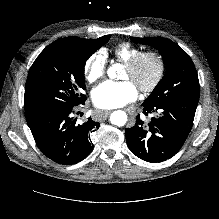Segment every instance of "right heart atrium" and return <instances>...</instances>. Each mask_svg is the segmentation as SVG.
I'll list each match as a JSON object with an SVG mask.
<instances>
[{"instance_id": "obj_1", "label": "right heart atrium", "mask_w": 219, "mask_h": 219, "mask_svg": "<svg viewBox=\"0 0 219 219\" xmlns=\"http://www.w3.org/2000/svg\"><path fill=\"white\" fill-rule=\"evenodd\" d=\"M107 58L106 53L98 50L93 53L86 61L84 66L85 78L89 83L97 82L102 79L106 72Z\"/></svg>"}]
</instances>
